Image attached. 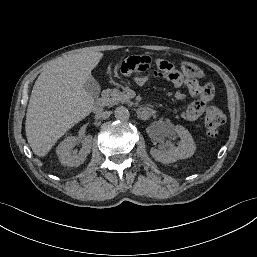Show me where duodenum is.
<instances>
[{"instance_id":"1","label":"duodenum","mask_w":257,"mask_h":257,"mask_svg":"<svg viewBox=\"0 0 257 257\" xmlns=\"http://www.w3.org/2000/svg\"><path fill=\"white\" fill-rule=\"evenodd\" d=\"M104 110V102L101 98H97L93 103V112L101 114ZM137 114L142 119L150 118L154 115V110L149 107H141L138 109Z\"/></svg>"}]
</instances>
